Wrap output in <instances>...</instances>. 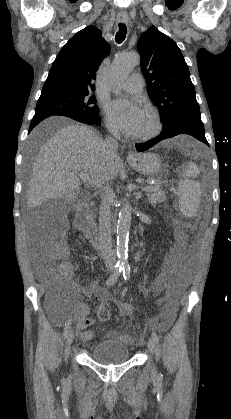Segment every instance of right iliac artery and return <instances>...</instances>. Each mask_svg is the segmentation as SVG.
<instances>
[{
  "label": "right iliac artery",
  "mask_w": 231,
  "mask_h": 419,
  "mask_svg": "<svg viewBox=\"0 0 231 419\" xmlns=\"http://www.w3.org/2000/svg\"><path fill=\"white\" fill-rule=\"evenodd\" d=\"M122 271V265H116L115 269L113 271V273L111 274V276L108 278V280L106 281V286H111L119 277L120 273ZM71 325V320H69L66 324H65V328H64V332H63V336L64 338H67V335L69 333V328Z\"/></svg>",
  "instance_id": "obj_1"
}]
</instances>
